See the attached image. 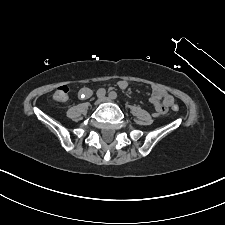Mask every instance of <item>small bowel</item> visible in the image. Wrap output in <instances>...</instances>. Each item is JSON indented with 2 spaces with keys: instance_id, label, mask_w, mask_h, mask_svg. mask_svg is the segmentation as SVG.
Listing matches in <instances>:
<instances>
[{
  "instance_id": "c3829d8e",
  "label": "small bowel",
  "mask_w": 225,
  "mask_h": 225,
  "mask_svg": "<svg viewBox=\"0 0 225 225\" xmlns=\"http://www.w3.org/2000/svg\"><path fill=\"white\" fill-rule=\"evenodd\" d=\"M117 85L120 89H125L129 85V82L127 80H120L118 81ZM78 95L80 98H87L91 95V90L87 87L81 88L78 92ZM150 101L158 114L160 113L161 108H167L171 106L174 102V98L163 88L154 86L152 88Z\"/></svg>"
}]
</instances>
